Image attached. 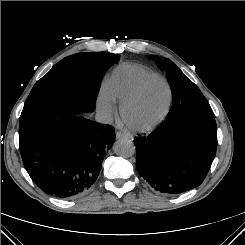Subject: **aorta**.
Wrapping results in <instances>:
<instances>
[{
  "instance_id": "obj_1",
  "label": "aorta",
  "mask_w": 245,
  "mask_h": 245,
  "mask_svg": "<svg viewBox=\"0 0 245 245\" xmlns=\"http://www.w3.org/2000/svg\"><path fill=\"white\" fill-rule=\"evenodd\" d=\"M114 152L121 157L128 158L134 155L135 146L131 140L120 138L113 145Z\"/></svg>"
}]
</instances>
